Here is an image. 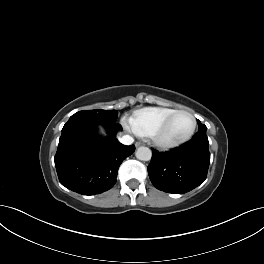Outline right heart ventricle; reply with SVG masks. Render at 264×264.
Instances as JSON below:
<instances>
[{
  "mask_svg": "<svg viewBox=\"0 0 264 264\" xmlns=\"http://www.w3.org/2000/svg\"><path fill=\"white\" fill-rule=\"evenodd\" d=\"M176 109L168 107H147L136 110L131 118L130 125L133 131L141 137H151L163 121Z\"/></svg>",
  "mask_w": 264,
  "mask_h": 264,
  "instance_id": "1",
  "label": "right heart ventricle"
}]
</instances>
